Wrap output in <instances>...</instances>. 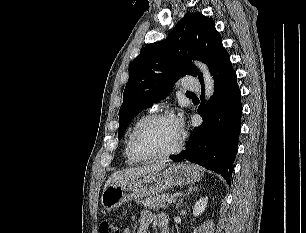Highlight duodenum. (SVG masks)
<instances>
[{"mask_svg":"<svg viewBox=\"0 0 306 233\" xmlns=\"http://www.w3.org/2000/svg\"><path fill=\"white\" fill-rule=\"evenodd\" d=\"M163 231L164 233H167V227H164Z\"/></svg>","mask_w":306,"mask_h":233,"instance_id":"1","label":"duodenum"}]
</instances>
